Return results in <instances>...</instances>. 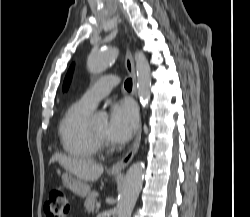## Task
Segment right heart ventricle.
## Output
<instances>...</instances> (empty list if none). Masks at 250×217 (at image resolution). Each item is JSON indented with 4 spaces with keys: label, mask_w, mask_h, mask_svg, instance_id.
I'll return each instance as SVG.
<instances>
[{
    "label": "right heart ventricle",
    "mask_w": 250,
    "mask_h": 217,
    "mask_svg": "<svg viewBox=\"0 0 250 217\" xmlns=\"http://www.w3.org/2000/svg\"><path fill=\"white\" fill-rule=\"evenodd\" d=\"M92 108L83 102H73L62 116L58 134L63 150L77 158H92L99 147L88 131L89 116Z\"/></svg>",
    "instance_id": "e07e8e85"
}]
</instances>
